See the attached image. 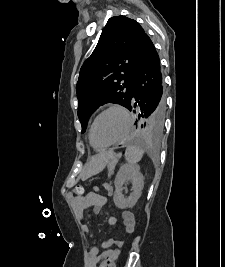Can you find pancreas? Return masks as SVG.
I'll list each match as a JSON object with an SVG mask.
<instances>
[{
    "mask_svg": "<svg viewBox=\"0 0 225 267\" xmlns=\"http://www.w3.org/2000/svg\"><path fill=\"white\" fill-rule=\"evenodd\" d=\"M117 163V159L114 158L108 164V178H110L114 174L115 165Z\"/></svg>",
    "mask_w": 225,
    "mask_h": 267,
    "instance_id": "obj_1",
    "label": "pancreas"
}]
</instances>
